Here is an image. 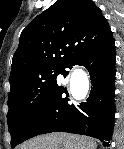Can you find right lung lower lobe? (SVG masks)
Segmentation results:
<instances>
[{
    "instance_id": "1",
    "label": "right lung lower lobe",
    "mask_w": 124,
    "mask_h": 149,
    "mask_svg": "<svg viewBox=\"0 0 124 149\" xmlns=\"http://www.w3.org/2000/svg\"><path fill=\"white\" fill-rule=\"evenodd\" d=\"M115 41L88 52L63 68L64 77L75 65L86 67L91 91L86 102L70 100L66 87L57 83L40 105L18 144L39 134L67 132L98 138L109 146L114 128Z\"/></svg>"
}]
</instances>
